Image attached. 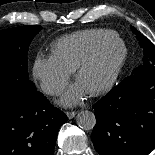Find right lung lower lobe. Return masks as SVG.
Instances as JSON below:
<instances>
[{
    "label": "right lung lower lobe",
    "mask_w": 155,
    "mask_h": 155,
    "mask_svg": "<svg viewBox=\"0 0 155 155\" xmlns=\"http://www.w3.org/2000/svg\"><path fill=\"white\" fill-rule=\"evenodd\" d=\"M67 120L36 89L25 101L0 95V155H52L58 130Z\"/></svg>",
    "instance_id": "right-lung-lower-lobe-1"
}]
</instances>
